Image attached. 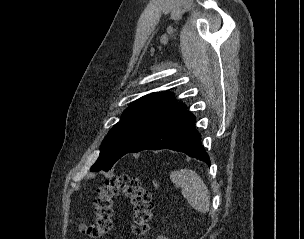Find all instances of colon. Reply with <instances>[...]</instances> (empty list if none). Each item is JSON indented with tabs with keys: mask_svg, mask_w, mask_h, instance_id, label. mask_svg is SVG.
<instances>
[{
	"mask_svg": "<svg viewBox=\"0 0 304 239\" xmlns=\"http://www.w3.org/2000/svg\"><path fill=\"white\" fill-rule=\"evenodd\" d=\"M124 196L131 206L132 231L138 239H145L149 229L153 210V199L140 178L119 174L106 180L97 189L93 200L94 221L81 224L80 230L91 239H101L113 227V202L115 197Z\"/></svg>",
	"mask_w": 304,
	"mask_h": 239,
	"instance_id": "5ec220e1",
	"label": "colon"
}]
</instances>
